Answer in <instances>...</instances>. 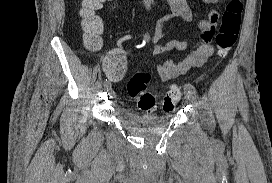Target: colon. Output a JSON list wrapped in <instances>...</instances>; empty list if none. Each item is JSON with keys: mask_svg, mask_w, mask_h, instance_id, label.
<instances>
[{"mask_svg": "<svg viewBox=\"0 0 272 183\" xmlns=\"http://www.w3.org/2000/svg\"><path fill=\"white\" fill-rule=\"evenodd\" d=\"M104 1L82 0L80 16L84 30V43L89 50H96L101 45L100 33L102 31V23L100 18L95 15V11L101 7ZM242 10V0H230L223 13L219 29L217 31L208 30L215 31L214 38L219 58L226 57L237 40ZM150 78L149 73L138 72L130 78L127 84L128 94L135 99L142 110L147 112L153 111L156 107V98L147 89ZM180 98V87L173 86L161 101L163 111L170 112L174 110Z\"/></svg>", "mask_w": 272, "mask_h": 183, "instance_id": "5ec220e1", "label": "colon"}]
</instances>
